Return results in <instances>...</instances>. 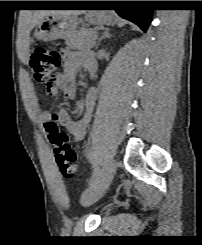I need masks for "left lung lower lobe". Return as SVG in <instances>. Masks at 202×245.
Wrapping results in <instances>:
<instances>
[{
  "instance_id": "1",
  "label": "left lung lower lobe",
  "mask_w": 202,
  "mask_h": 245,
  "mask_svg": "<svg viewBox=\"0 0 202 245\" xmlns=\"http://www.w3.org/2000/svg\"><path fill=\"white\" fill-rule=\"evenodd\" d=\"M132 1H118L115 11L127 20L137 24L144 32L148 29L152 21V10L146 8H129L128 5ZM99 1H85L86 6H94L99 4Z\"/></svg>"
}]
</instances>
